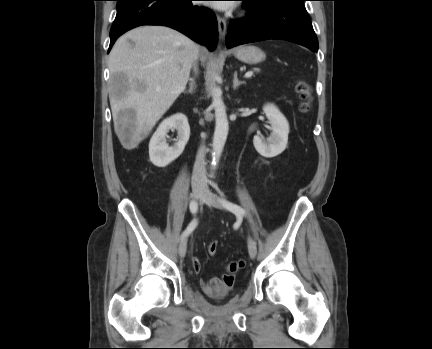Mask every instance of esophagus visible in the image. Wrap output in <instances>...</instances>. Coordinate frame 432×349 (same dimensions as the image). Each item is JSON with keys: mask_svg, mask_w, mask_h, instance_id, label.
Segmentation results:
<instances>
[{"mask_svg": "<svg viewBox=\"0 0 432 349\" xmlns=\"http://www.w3.org/2000/svg\"><path fill=\"white\" fill-rule=\"evenodd\" d=\"M217 22H218V31L220 38H224L227 30V23L226 20L221 17L220 15H217Z\"/></svg>", "mask_w": 432, "mask_h": 349, "instance_id": "1", "label": "esophagus"}]
</instances>
